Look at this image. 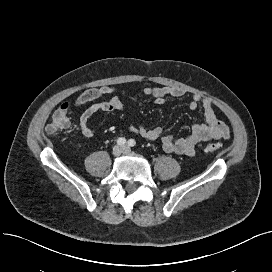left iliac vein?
Returning a JSON list of instances; mask_svg holds the SVG:
<instances>
[{"label": "left iliac vein", "mask_w": 272, "mask_h": 272, "mask_svg": "<svg viewBox=\"0 0 272 272\" xmlns=\"http://www.w3.org/2000/svg\"><path fill=\"white\" fill-rule=\"evenodd\" d=\"M123 152L124 153H130V149L126 146L123 147Z\"/></svg>", "instance_id": "obj_1"}]
</instances>
